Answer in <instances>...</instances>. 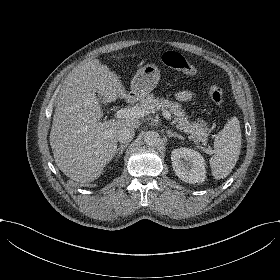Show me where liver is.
I'll return each mask as SVG.
<instances>
[{"mask_svg": "<svg viewBox=\"0 0 280 280\" xmlns=\"http://www.w3.org/2000/svg\"><path fill=\"white\" fill-rule=\"evenodd\" d=\"M103 103L119 97L133 101L146 95L127 93L119 77L93 59L69 73L58 95L53 116L50 145L60 170L74 181L92 182L97 179L112 158L117 147V131L139 128L138 119H111L100 122Z\"/></svg>", "mask_w": 280, "mask_h": 280, "instance_id": "liver-1", "label": "liver"}]
</instances>
